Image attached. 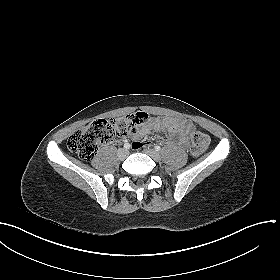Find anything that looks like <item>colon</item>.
Instances as JSON below:
<instances>
[{
  "instance_id": "1",
  "label": "colon",
  "mask_w": 280,
  "mask_h": 280,
  "mask_svg": "<svg viewBox=\"0 0 280 280\" xmlns=\"http://www.w3.org/2000/svg\"><path fill=\"white\" fill-rule=\"evenodd\" d=\"M145 113L128 115L122 119H99L76 130L68 140V148L76 153L80 159L89 161L94 158L98 147L109 143L115 138H122L133 134L137 127L147 120ZM210 139L207 134L195 131L190 138V152L199 156L209 146ZM142 143H133L134 149H139Z\"/></svg>"
}]
</instances>
